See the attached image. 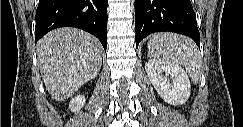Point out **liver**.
Wrapping results in <instances>:
<instances>
[{
  "instance_id": "6515ba94",
  "label": "liver",
  "mask_w": 243,
  "mask_h": 127,
  "mask_svg": "<svg viewBox=\"0 0 243 127\" xmlns=\"http://www.w3.org/2000/svg\"><path fill=\"white\" fill-rule=\"evenodd\" d=\"M38 64L47 91L56 101L71 97L97 76L102 47L97 38L77 28L49 32L37 44Z\"/></svg>"
}]
</instances>
